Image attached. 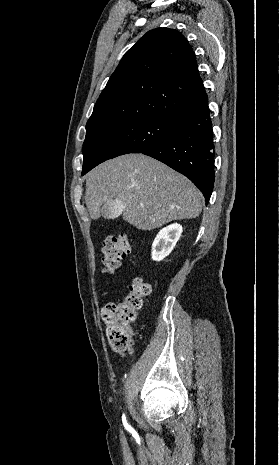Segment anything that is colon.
I'll use <instances>...</instances> for the list:
<instances>
[{
  "mask_svg": "<svg viewBox=\"0 0 279 465\" xmlns=\"http://www.w3.org/2000/svg\"><path fill=\"white\" fill-rule=\"evenodd\" d=\"M132 245L125 235L108 236L102 247V266L104 272L114 274L121 262L131 252ZM151 292L150 284L140 276L131 281L125 299L118 303H109L102 309V319L106 324V337L111 349L118 353L128 352L131 348V325L136 319L145 297Z\"/></svg>",
  "mask_w": 279,
  "mask_h": 465,
  "instance_id": "1",
  "label": "colon"
}]
</instances>
